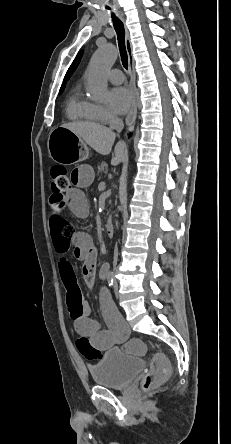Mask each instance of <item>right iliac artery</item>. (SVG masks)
<instances>
[{
	"label": "right iliac artery",
	"mask_w": 231,
	"mask_h": 444,
	"mask_svg": "<svg viewBox=\"0 0 231 444\" xmlns=\"http://www.w3.org/2000/svg\"><path fill=\"white\" fill-rule=\"evenodd\" d=\"M107 280H108V284H109V286H112V285H113V282H114V277H113V273H112V272H109V273L107 274Z\"/></svg>",
	"instance_id": "82829eb1"
}]
</instances>
